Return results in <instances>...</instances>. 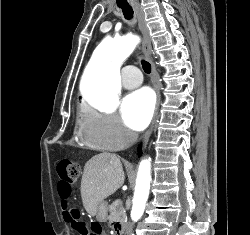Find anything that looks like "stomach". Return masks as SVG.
Listing matches in <instances>:
<instances>
[{
	"instance_id": "1",
	"label": "stomach",
	"mask_w": 250,
	"mask_h": 235,
	"mask_svg": "<svg viewBox=\"0 0 250 235\" xmlns=\"http://www.w3.org/2000/svg\"><path fill=\"white\" fill-rule=\"evenodd\" d=\"M107 210H108L107 202L106 201L100 202L96 211V219L99 222H105L107 220Z\"/></svg>"
}]
</instances>
